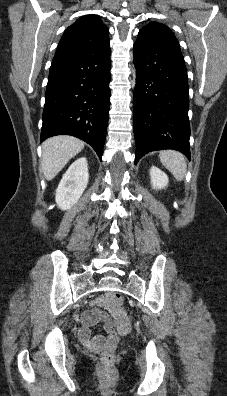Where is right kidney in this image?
Wrapping results in <instances>:
<instances>
[{
	"mask_svg": "<svg viewBox=\"0 0 227 396\" xmlns=\"http://www.w3.org/2000/svg\"><path fill=\"white\" fill-rule=\"evenodd\" d=\"M89 179L88 163L79 158L68 168L56 190L55 200L62 210L70 209L81 197Z\"/></svg>",
	"mask_w": 227,
	"mask_h": 396,
	"instance_id": "right-kidney-1",
	"label": "right kidney"
}]
</instances>
